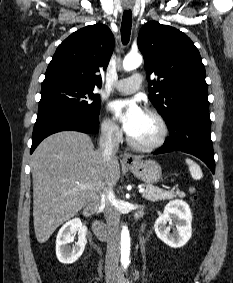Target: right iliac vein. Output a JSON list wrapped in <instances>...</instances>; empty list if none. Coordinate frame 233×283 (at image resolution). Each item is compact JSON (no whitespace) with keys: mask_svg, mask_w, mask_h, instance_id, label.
I'll return each instance as SVG.
<instances>
[{"mask_svg":"<svg viewBox=\"0 0 233 283\" xmlns=\"http://www.w3.org/2000/svg\"><path fill=\"white\" fill-rule=\"evenodd\" d=\"M115 282V276L110 273L106 276V283H114Z\"/></svg>","mask_w":233,"mask_h":283,"instance_id":"1","label":"right iliac vein"}]
</instances>
